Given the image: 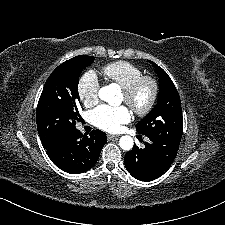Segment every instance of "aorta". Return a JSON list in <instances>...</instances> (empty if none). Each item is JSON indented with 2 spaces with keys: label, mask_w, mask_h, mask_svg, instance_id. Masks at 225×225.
I'll return each mask as SVG.
<instances>
[{
  "label": "aorta",
  "mask_w": 225,
  "mask_h": 225,
  "mask_svg": "<svg viewBox=\"0 0 225 225\" xmlns=\"http://www.w3.org/2000/svg\"><path fill=\"white\" fill-rule=\"evenodd\" d=\"M118 94V90L114 84H111L109 86L102 87L98 95L100 99H102L105 102H108L111 105L116 104V95ZM134 142L132 137L125 135L122 136L119 140V146L121 149L125 151H129L133 148Z\"/></svg>",
  "instance_id": "obj_1"
}]
</instances>
